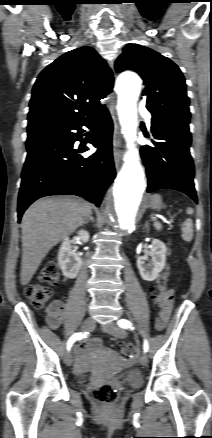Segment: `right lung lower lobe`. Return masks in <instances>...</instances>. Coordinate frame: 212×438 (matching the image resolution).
I'll list each match as a JSON object with an SVG mask.
<instances>
[{
	"label": "right lung lower lobe",
	"mask_w": 212,
	"mask_h": 438,
	"mask_svg": "<svg viewBox=\"0 0 212 438\" xmlns=\"http://www.w3.org/2000/svg\"><path fill=\"white\" fill-rule=\"evenodd\" d=\"M95 119L100 120L99 126L89 142L98 150L85 158L78 153L88 148L74 149L73 145L81 139L82 126L90 127ZM112 131V120L106 108L84 121H55L28 128V154L18 197V221L26 208L43 196L73 194L99 206L116 176Z\"/></svg>",
	"instance_id": "1"
}]
</instances>
